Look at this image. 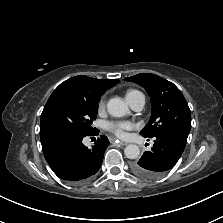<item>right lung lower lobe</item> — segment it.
Masks as SVG:
<instances>
[{"instance_id":"98d812e1","label":"right lung lower lobe","mask_w":223,"mask_h":223,"mask_svg":"<svg viewBox=\"0 0 223 223\" xmlns=\"http://www.w3.org/2000/svg\"><path fill=\"white\" fill-rule=\"evenodd\" d=\"M97 134L98 130L90 134L56 132L40 136L45 159L53 172L72 183L88 181L100 169L109 145L107 137L102 135L92 148L84 146L82 140L86 135Z\"/></svg>"}]
</instances>
